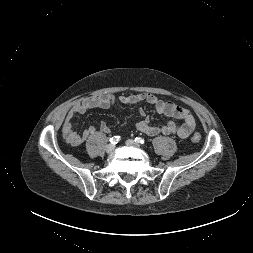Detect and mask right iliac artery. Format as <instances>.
Masks as SVG:
<instances>
[{"label": "right iliac artery", "instance_id": "obj_1", "mask_svg": "<svg viewBox=\"0 0 253 253\" xmlns=\"http://www.w3.org/2000/svg\"><path fill=\"white\" fill-rule=\"evenodd\" d=\"M119 140H120V136H114V137H112V138L110 139V142H111L112 144H116V143H118Z\"/></svg>", "mask_w": 253, "mask_h": 253}]
</instances>
